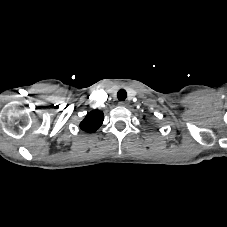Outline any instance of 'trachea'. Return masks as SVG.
<instances>
[{
  "label": "trachea",
  "instance_id": "trachea-1",
  "mask_svg": "<svg viewBox=\"0 0 227 227\" xmlns=\"http://www.w3.org/2000/svg\"><path fill=\"white\" fill-rule=\"evenodd\" d=\"M127 97V92L124 89H121L117 93V98L119 101H124Z\"/></svg>",
  "mask_w": 227,
  "mask_h": 227
}]
</instances>
